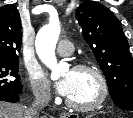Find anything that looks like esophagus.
Segmentation results:
<instances>
[{
  "instance_id": "obj_1",
  "label": "esophagus",
  "mask_w": 133,
  "mask_h": 118,
  "mask_svg": "<svg viewBox=\"0 0 133 118\" xmlns=\"http://www.w3.org/2000/svg\"><path fill=\"white\" fill-rule=\"evenodd\" d=\"M61 118H78V115L64 112L61 114Z\"/></svg>"
}]
</instances>
